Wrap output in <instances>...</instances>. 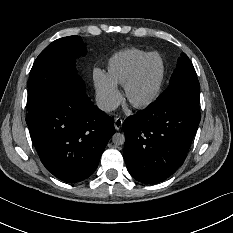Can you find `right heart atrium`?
Wrapping results in <instances>:
<instances>
[{"label": "right heart atrium", "instance_id": "right-heart-atrium-1", "mask_svg": "<svg viewBox=\"0 0 233 233\" xmlns=\"http://www.w3.org/2000/svg\"><path fill=\"white\" fill-rule=\"evenodd\" d=\"M93 80L98 106L104 112H112L121 103V92L118 87L114 85L98 68L93 71Z\"/></svg>", "mask_w": 233, "mask_h": 233}]
</instances>
